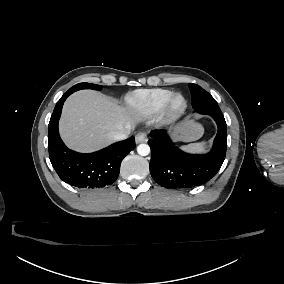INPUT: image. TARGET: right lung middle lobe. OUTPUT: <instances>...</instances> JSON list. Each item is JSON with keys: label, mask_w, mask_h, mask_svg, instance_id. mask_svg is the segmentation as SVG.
Segmentation results:
<instances>
[{"label": "right lung middle lobe", "mask_w": 284, "mask_h": 284, "mask_svg": "<svg viewBox=\"0 0 284 284\" xmlns=\"http://www.w3.org/2000/svg\"><path fill=\"white\" fill-rule=\"evenodd\" d=\"M102 86L91 84V83H79L69 89L71 92H75L81 89H95V90H101Z\"/></svg>", "instance_id": "dd1d6c3e"}]
</instances>
